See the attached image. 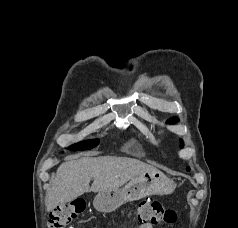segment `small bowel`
<instances>
[{
	"instance_id": "small-bowel-1",
	"label": "small bowel",
	"mask_w": 238,
	"mask_h": 228,
	"mask_svg": "<svg viewBox=\"0 0 238 228\" xmlns=\"http://www.w3.org/2000/svg\"><path fill=\"white\" fill-rule=\"evenodd\" d=\"M137 228H153L151 224H140Z\"/></svg>"
}]
</instances>
